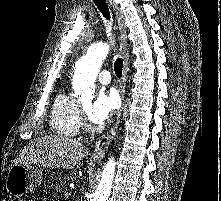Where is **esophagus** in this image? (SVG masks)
<instances>
[{
    "mask_svg": "<svg viewBox=\"0 0 221 201\" xmlns=\"http://www.w3.org/2000/svg\"><path fill=\"white\" fill-rule=\"evenodd\" d=\"M108 2L110 3L111 7L114 10L116 21H117L119 31H120V54L123 59V73H122L119 90H120V94L122 98V108L117 115L116 122L114 126L112 127V129L107 134L103 135L96 142L94 153L91 156L92 160L94 161H100L103 158L105 150L107 149L111 141L114 139L117 128L119 126L120 119H121V114L125 106V85H126V78H127V71H128V48H127L126 27L124 24V16L122 12L120 11L118 5L114 3L113 0H108Z\"/></svg>",
    "mask_w": 221,
    "mask_h": 201,
    "instance_id": "34e87169",
    "label": "esophagus"
}]
</instances>
